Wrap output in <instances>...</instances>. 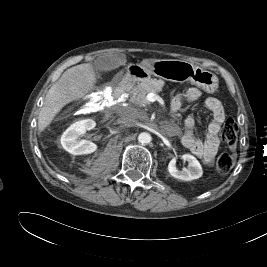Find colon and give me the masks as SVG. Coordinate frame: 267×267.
Here are the masks:
<instances>
[{
    "instance_id": "5ec220e1",
    "label": "colon",
    "mask_w": 267,
    "mask_h": 267,
    "mask_svg": "<svg viewBox=\"0 0 267 267\" xmlns=\"http://www.w3.org/2000/svg\"><path fill=\"white\" fill-rule=\"evenodd\" d=\"M221 137L231 150H234L238 137V125L234 119H227L221 130ZM235 164L233 153H222L216 161V168L220 173L229 172Z\"/></svg>"
}]
</instances>
